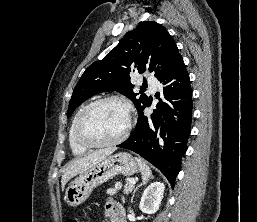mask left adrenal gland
<instances>
[{"instance_id":"1","label":"left adrenal gland","mask_w":257,"mask_h":222,"mask_svg":"<svg viewBox=\"0 0 257 222\" xmlns=\"http://www.w3.org/2000/svg\"><path fill=\"white\" fill-rule=\"evenodd\" d=\"M141 186H142V184L138 185V186L134 189V192H133V195H132L131 201H133V198H134V196H135L136 191H137V190H138V188H139V187H141Z\"/></svg>"}]
</instances>
